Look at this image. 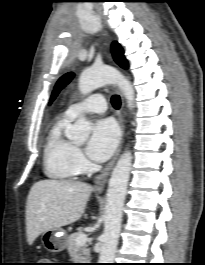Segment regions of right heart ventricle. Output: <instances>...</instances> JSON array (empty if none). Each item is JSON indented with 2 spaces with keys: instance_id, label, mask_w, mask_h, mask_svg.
I'll return each mask as SVG.
<instances>
[{
  "instance_id": "obj_1",
  "label": "right heart ventricle",
  "mask_w": 205,
  "mask_h": 265,
  "mask_svg": "<svg viewBox=\"0 0 205 265\" xmlns=\"http://www.w3.org/2000/svg\"><path fill=\"white\" fill-rule=\"evenodd\" d=\"M71 119L63 116L49 130L43 148V170L47 177L56 180L73 179L78 173L74 143L65 136Z\"/></svg>"
}]
</instances>
